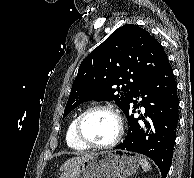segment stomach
<instances>
[{"instance_id": "1", "label": "stomach", "mask_w": 194, "mask_h": 178, "mask_svg": "<svg viewBox=\"0 0 194 178\" xmlns=\"http://www.w3.org/2000/svg\"><path fill=\"white\" fill-rule=\"evenodd\" d=\"M139 162L138 155L126 151H102L65 170L59 178H127Z\"/></svg>"}]
</instances>
